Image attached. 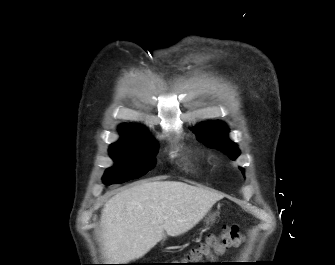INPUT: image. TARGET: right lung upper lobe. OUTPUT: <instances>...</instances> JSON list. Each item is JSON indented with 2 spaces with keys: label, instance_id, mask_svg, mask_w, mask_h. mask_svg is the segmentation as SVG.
Wrapping results in <instances>:
<instances>
[{
  "label": "right lung upper lobe",
  "instance_id": "1",
  "mask_svg": "<svg viewBox=\"0 0 335 265\" xmlns=\"http://www.w3.org/2000/svg\"><path fill=\"white\" fill-rule=\"evenodd\" d=\"M120 131H127V130H133V131H146L141 127L135 126V125H122L119 128Z\"/></svg>",
  "mask_w": 335,
  "mask_h": 265
}]
</instances>
